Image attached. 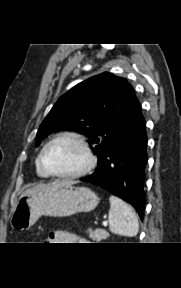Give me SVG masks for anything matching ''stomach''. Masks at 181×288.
Returning a JSON list of instances; mask_svg holds the SVG:
<instances>
[{
  "label": "stomach",
  "instance_id": "obj_1",
  "mask_svg": "<svg viewBox=\"0 0 181 288\" xmlns=\"http://www.w3.org/2000/svg\"><path fill=\"white\" fill-rule=\"evenodd\" d=\"M99 202L87 187L55 181L36 193L22 195L16 203L10 224L16 230H28L42 215L67 217L78 212H90Z\"/></svg>",
  "mask_w": 181,
  "mask_h": 288
}]
</instances>
